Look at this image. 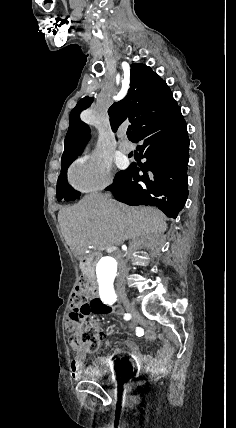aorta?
<instances>
[{
  "label": "aorta",
  "mask_w": 236,
  "mask_h": 428,
  "mask_svg": "<svg viewBox=\"0 0 236 428\" xmlns=\"http://www.w3.org/2000/svg\"><path fill=\"white\" fill-rule=\"evenodd\" d=\"M118 274V264L115 258L102 257L96 265V277L99 293L110 294L114 291V283Z\"/></svg>",
  "instance_id": "obj_1"
}]
</instances>
